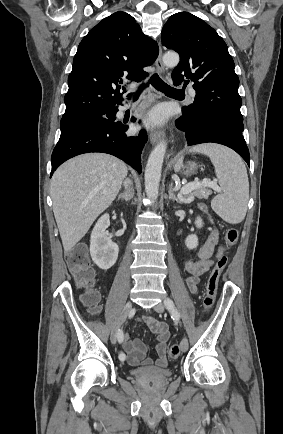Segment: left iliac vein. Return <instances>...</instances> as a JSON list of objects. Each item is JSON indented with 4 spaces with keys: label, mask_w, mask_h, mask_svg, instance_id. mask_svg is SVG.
<instances>
[{
    "label": "left iliac vein",
    "mask_w": 283,
    "mask_h": 434,
    "mask_svg": "<svg viewBox=\"0 0 283 434\" xmlns=\"http://www.w3.org/2000/svg\"><path fill=\"white\" fill-rule=\"evenodd\" d=\"M154 310L158 313H163L164 312V305L162 303H158L155 307ZM180 349L182 352H186L188 350V340L186 337H184L180 343Z\"/></svg>",
    "instance_id": "4c4485c4"
}]
</instances>
